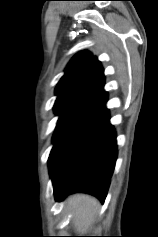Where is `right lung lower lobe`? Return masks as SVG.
<instances>
[{
  "mask_svg": "<svg viewBox=\"0 0 158 237\" xmlns=\"http://www.w3.org/2000/svg\"><path fill=\"white\" fill-rule=\"evenodd\" d=\"M106 92L58 124L48 165L55 199L85 192L105 200L117 158L116 134L105 108Z\"/></svg>",
  "mask_w": 158,
  "mask_h": 237,
  "instance_id": "right-lung-lower-lobe-1",
  "label": "right lung lower lobe"
}]
</instances>
